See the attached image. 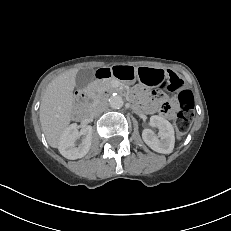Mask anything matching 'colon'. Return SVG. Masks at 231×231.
Wrapping results in <instances>:
<instances>
[{"instance_id":"1","label":"colon","mask_w":231,"mask_h":231,"mask_svg":"<svg viewBox=\"0 0 231 231\" xmlns=\"http://www.w3.org/2000/svg\"><path fill=\"white\" fill-rule=\"evenodd\" d=\"M143 77L148 78V74L143 72ZM170 89L176 92V101L179 106V111L175 116L174 125L179 137L187 133L192 118L194 109V97L191 90L187 89L183 81L176 75L170 76ZM160 108L163 112H169L173 109V104L170 101H162Z\"/></svg>"}]
</instances>
